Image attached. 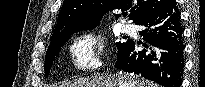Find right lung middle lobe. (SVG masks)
I'll return each instance as SVG.
<instances>
[{"label": "right lung middle lobe", "instance_id": "dd1d6c3e", "mask_svg": "<svg viewBox=\"0 0 205 87\" xmlns=\"http://www.w3.org/2000/svg\"><path fill=\"white\" fill-rule=\"evenodd\" d=\"M69 33L68 35L58 38L54 41L51 42V44L48 47V50L46 52V56H45V65H44V70H45V75L48 76L49 72H50V67L55 59V57L58 56L59 52H60V48L65 44L66 39L69 38L72 34ZM126 42H118L117 46L120 49L122 46L125 45Z\"/></svg>", "mask_w": 205, "mask_h": 87}]
</instances>
